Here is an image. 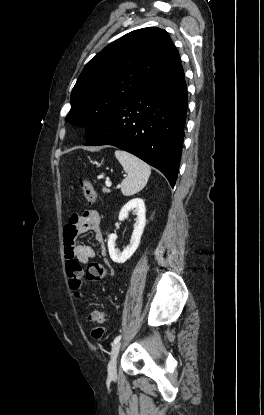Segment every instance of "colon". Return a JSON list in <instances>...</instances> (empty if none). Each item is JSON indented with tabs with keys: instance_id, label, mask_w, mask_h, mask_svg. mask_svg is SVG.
<instances>
[{
	"instance_id": "obj_1",
	"label": "colon",
	"mask_w": 264,
	"mask_h": 415,
	"mask_svg": "<svg viewBox=\"0 0 264 415\" xmlns=\"http://www.w3.org/2000/svg\"><path fill=\"white\" fill-rule=\"evenodd\" d=\"M81 189L84 197L89 202L93 204L97 200V192L93 187L92 183L85 178L80 180ZM85 272V276L88 280L99 281L104 278L105 269L104 267L96 262H91L87 265L85 270L82 266L76 261H70L67 264V275L69 277V284L71 289L77 292V297L81 301V292L80 287L82 283V273ZM87 322L92 325L91 336L95 340H101L104 336V330L99 324L103 322V314L94 309L87 310L86 313Z\"/></svg>"
}]
</instances>
